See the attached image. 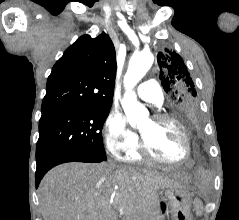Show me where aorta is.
<instances>
[{"mask_svg":"<svg viewBox=\"0 0 239 220\" xmlns=\"http://www.w3.org/2000/svg\"><path fill=\"white\" fill-rule=\"evenodd\" d=\"M153 61L154 56L150 51L137 53L129 61L124 76L125 94L121 104L131 126H135L140 119L148 116L147 109L139 103L133 88L150 69Z\"/></svg>","mask_w":239,"mask_h":220,"instance_id":"1","label":"aorta"}]
</instances>
